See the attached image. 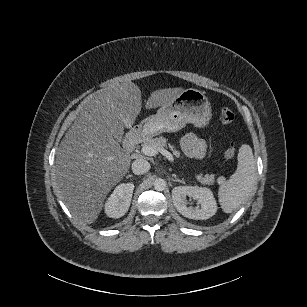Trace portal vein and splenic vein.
Segmentation results:
<instances>
[{
  "label": "portal vein and splenic vein",
  "instance_id": "obj_1",
  "mask_svg": "<svg viewBox=\"0 0 307 307\" xmlns=\"http://www.w3.org/2000/svg\"><path fill=\"white\" fill-rule=\"evenodd\" d=\"M141 152L147 156H155L158 153H161L169 161H174L173 155L164 148L156 149L154 146H143Z\"/></svg>",
  "mask_w": 307,
  "mask_h": 307
}]
</instances>
